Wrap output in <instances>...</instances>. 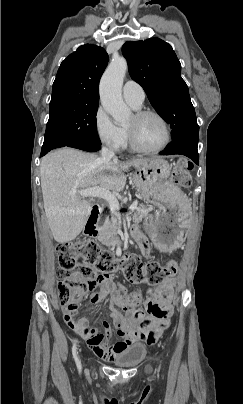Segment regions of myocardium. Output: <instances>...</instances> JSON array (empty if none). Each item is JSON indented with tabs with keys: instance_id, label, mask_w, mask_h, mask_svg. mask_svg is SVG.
I'll use <instances>...</instances> for the list:
<instances>
[{
	"instance_id": "1",
	"label": "myocardium",
	"mask_w": 243,
	"mask_h": 404,
	"mask_svg": "<svg viewBox=\"0 0 243 404\" xmlns=\"http://www.w3.org/2000/svg\"><path fill=\"white\" fill-rule=\"evenodd\" d=\"M146 115H155L157 116L164 124L165 129H166V140L165 142L155 148H147L145 146H143L141 143L138 142V140L135 138L134 134L132 133V131L130 129H128L127 127H125V132L127 134V137L129 139L130 144L132 145V147L134 149H136L139 152H143V153H158L163 151L164 149H166L169 144L171 143L172 140V128L171 125L169 123V121L167 120V118L159 111L152 109V108H143V109H138L137 111H135L134 116L136 118H141L144 117Z\"/></svg>"
}]
</instances>
